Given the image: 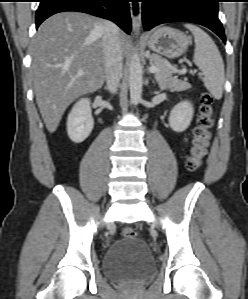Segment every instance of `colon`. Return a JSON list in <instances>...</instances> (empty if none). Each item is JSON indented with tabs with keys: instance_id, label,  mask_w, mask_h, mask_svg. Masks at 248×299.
I'll list each match as a JSON object with an SVG mask.
<instances>
[{
	"instance_id": "obj_1",
	"label": "colon",
	"mask_w": 248,
	"mask_h": 299,
	"mask_svg": "<svg viewBox=\"0 0 248 299\" xmlns=\"http://www.w3.org/2000/svg\"><path fill=\"white\" fill-rule=\"evenodd\" d=\"M214 116V99L209 93H203L201 95V105L197 124L193 131L190 155L186 161V167L189 171L198 170L202 164V159L206 154L211 137ZM122 235L124 238H135L137 233L134 229L126 227L122 230Z\"/></svg>"
}]
</instances>
